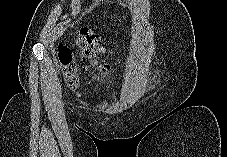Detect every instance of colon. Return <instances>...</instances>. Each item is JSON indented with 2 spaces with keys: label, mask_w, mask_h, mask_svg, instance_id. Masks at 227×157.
Masks as SVG:
<instances>
[{
  "label": "colon",
  "mask_w": 227,
  "mask_h": 157,
  "mask_svg": "<svg viewBox=\"0 0 227 157\" xmlns=\"http://www.w3.org/2000/svg\"><path fill=\"white\" fill-rule=\"evenodd\" d=\"M75 40L80 47L82 60L89 63L84 68L87 69L89 66L97 67L94 58L100 43L99 36L89 29L82 28L76 32ZM58 57L66 83L70 87H77L79 84L81 66L77 60L76 54L70 48L60 46L58 49ZM98 69L100 73L103 74L106 71V66H98Z\"/></svg>",
  "instance_id": "colon-1"
}]
</instances>
